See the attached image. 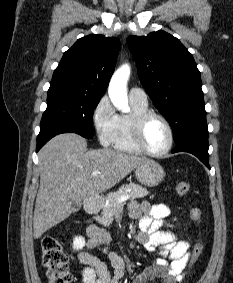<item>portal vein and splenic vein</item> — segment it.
<instances>
[{"mask_svg": "<svg viewBox=\"0 0 233 283\" xmlns=\"http://www.w3.org/2000/svg\"><path fill=\"white\" fill-rule=\"evenodd\" d=\"M100 172L99 171H94L92 172V176H96V175H99ZM130 198V195H123V196H120L117 198V201L118 202H124L126 200H128Z\"/></svg>", "mask_w": 233, "mask_h": 283, "instance_id": "1", "label": "portal vein and splenic vein"}]
</instances>
